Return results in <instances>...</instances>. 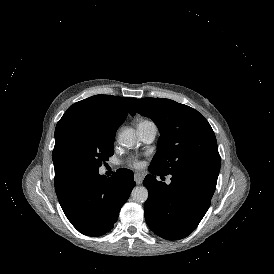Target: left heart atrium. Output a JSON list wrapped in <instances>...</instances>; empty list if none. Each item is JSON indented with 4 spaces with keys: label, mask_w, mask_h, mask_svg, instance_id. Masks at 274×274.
<instances>
[{
    "label": "left heart atrium",
    "mask_w": 274,
    "mask_h": 274,
    "mask_svg": "<svg viewBox=\"0 0 274 274\" xmlns=\"http://www.w3.org/2000/svg\"><path fill=\"white\" fill-rule=\"evenodd\" d=\"M130 164L133 166V167H139L141 165V161L138 159V158H133L131 161H130Z\"/></svg>",
    "instance_id": "39dd6f15"
}]
</instances>
